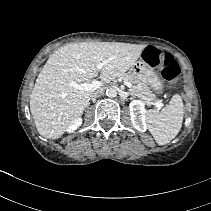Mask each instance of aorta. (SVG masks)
<instances>
[{
    "mask_svg": "<svg viewBox=\"0 0 211 211\" xmlns=\"http://www.w3.org/2000/svg\"><path fill=\"white\" fill-rule=\"evenodd\" d=\"M106 94L108 97L114 98L117 96V90L115 88H109L107 89Z\"/></svg>",
    "mask_w": 211,
    "mask_h": 211,
    "instance_id": "aorta-1",
    "label": "aorta"
}]
</instances>
